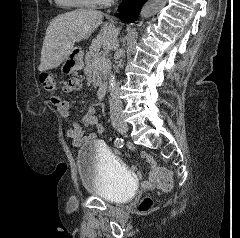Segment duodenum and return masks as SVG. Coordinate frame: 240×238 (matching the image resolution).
<instances>
[{
  "instance_id": "duodenum-1",
  "label": "duodenum",
  "mask_w": 240,
  "mask_h": 238,
  "mask_svg": "<svg viewBox=\"0 0 240 238\" xmlns=\"http://www.w3.org/2000/svg\"><path fill=\"white\" fill-rule=\"evenodd\" d=\"M106 92H107V86L105 84L100 85L97 91V98L99 100L103 99Z\"/></svg>"
}]
</instances>
